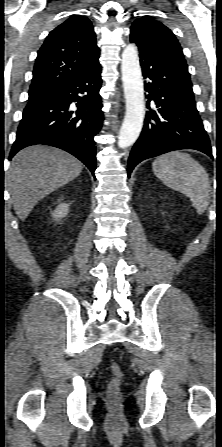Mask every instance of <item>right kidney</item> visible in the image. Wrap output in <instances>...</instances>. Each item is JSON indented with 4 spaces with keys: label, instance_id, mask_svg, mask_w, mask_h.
Instances as JSON below:
<instances>
[{
    "label": "right kidney",
    "instance_id": "obj_1",
    "mask_svg": "<svg viewBox=\"0 0 222 447\" xmlns=\"http://www.w3.org/2000/svg\"><path fill=\"white\" fill-rule=\"evenodd\" d=\"M69 211V204L60 203L57 208L51 213L54 220L58 221L64 218Z\"/></svg>",
    "mask_w": 222,
    "mask_h": 447
}]
</instances>
